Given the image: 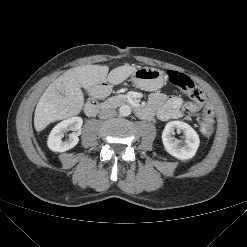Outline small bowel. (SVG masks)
Masks as SVG:
<instances>
[{
  "label": "small bowel",
  "instance_id": "obj_1",
  "mask_svg": "<svg viewBox=\"0 0 247 247\" xmlns=\"http://www.w3.org/2000/svg\"><path fill=\"white\" fill-rule=\"evenodd\" d=\"M183 100L179 96H167L161 92H155L151 94L149 98V107L147 110V116L150 118L153 112H155L161 120L178 119L182 116L180 111Z\"/></svg>",
  "mask_w": 247,
  "mask_h": 247
}]
</instances>
